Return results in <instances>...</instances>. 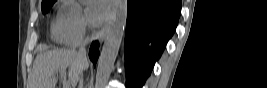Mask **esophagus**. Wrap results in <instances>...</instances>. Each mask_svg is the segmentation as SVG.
<instances>
[{
    "mask_svg": "<svg viewBox=\"0 0 267 88\" xmlns=\"http://www.w3.org/2000/svg\"><path fill=\"white\" fill-rule=\"evenodd\" d=\"M109 25H110V21L107 22V23L105 24V26H104L101 30H99V32L96 34V38H97L100 42H102V41L104 40V38H105V36H106V34H107V31H108Z\"/></svg>",
    "mask_w": 267,
    "mask_h": 88,
    "instance_id": "1",
    "label": "esophagus"
}]
</instances>
